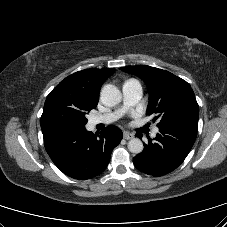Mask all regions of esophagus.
<instances>
[{"instance_id": "esophagus-1", "label": "esophagus", "mask_w": 227, "mask_h": 227, "mask_svg": "<svg viewBox=\"0 0 227 227\" xmlns=\"http://www.w3.org/2000/svg\"><path fill=\"white\" fill-rule=\"evenodd\" d=\"M123 137L126 140H130V139L134 138V135L132 133H129V132H124Z\"/></svg>"}]
</instances>
